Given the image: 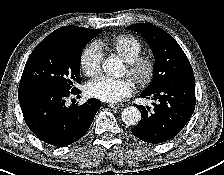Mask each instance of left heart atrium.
<instances>
[{
	"instance_id": "1",
	"label": "left heart atrium",
	"mask_w": 224,
	"mask_h": 175,
	"mask_svg": "<svg viewBox=\"0 0 224 175\" xmlns=\"http://www.w3.org/2000/svg\"><path fill=\"white\" fill-rule=\"evenodd\" d=\"M87 91L100 100L117 102L132 93L133 84L127 78L116 79L102 76L92 80L87 86Z\"/></svg>"
}]
</instances>
